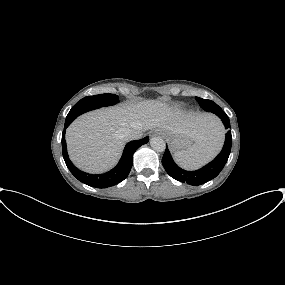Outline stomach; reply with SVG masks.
I'll list each match as a JSON object with an SVG mask.
<instances>
[{
	"mask_svg": "<svg viewBox=\"0 0 285 285\" xmlns=\"http://www.w3.org/2000/svg\"><path fill=\"white\" fill-rule=\"evenodd\" d=\"M163 134L169 140L173 150H185L193 143V140L185 135L172 134L166 131H163Z\"/></svg>",
	"mask_w": 285,
	"mask_h": 285,
	"instance_id": "1",
	"label": "stomach"
}]
</instances>
